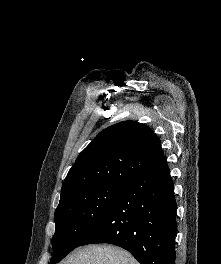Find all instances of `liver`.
I'll list each match as a JSON object with an SVG mask.
<instances>
[{
  "label": "liver",
  "mask_w": 221,
  "mask_h": 264,
  "mask_svg": "<svg viewBox=\"0 0 221 264\" xmlns=\"http://www.w3.org/2000/svg\"><path fill=\"white\" fill-rule=\"evenodd\" d=\"M60 264H139L127 251L111 245H90L74 251Z\"/></svg>",
  "instance_id": "obj_1"
}]
</instances>
